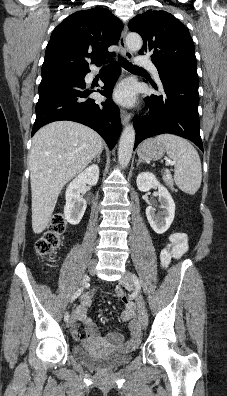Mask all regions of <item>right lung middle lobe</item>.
I'll return each instance as SVG.
<instances>
[{"mask_svg":"<svg viewBox=\"0 0 227 396\" xmlns=\"http://www.w3.org/2000/svg\"><path fill=\"white\" fill-rule=\"evenodd\" d=\"M57 74H74V75H80L81 71L79 70H47V71H42V78L48 77L51 75H57Z\"/></svg>","mask_w":227,"mask_h":396,"instance_id":"dd1d6c3e","label":"right lung middle lobe"}]
</instances>
